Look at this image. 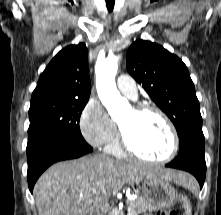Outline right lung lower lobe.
I'll return each instance as SVG.
<instances>
[{"mask_svg": "<svg viewBox=\"0 0 221 215\" xmlns=\"http://www.w3.org/2000/svg\"><path fill=\"white\" fill-rule=\"evenodd\" d=\"M92 150L85 140L66 137L48 139L27 148L29 190L33 191L39 176L53 163L79 158Z\"/></svg>", "mask_w": 221, "mask_h": 215, "instance_id": "1", "label": "right lung lower lobe"}]
</instances>
